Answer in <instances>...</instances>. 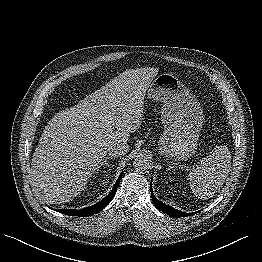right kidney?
<instances>
[{
    "instance_id": "obj_1",
    "label": "right kidney",
    "mask_w": 262,
    "mask_h": 262,
    "mask_svg": "<svg viewBox=\"0 0 262 262\" xmlns=\"http://www.w3.org/2000/svg\"><path fill=\"white\" fill-rule=\"evenodd\" d=\"M107 183H108V181H107V179H105V180H102L101 185H105V184H107Z\"/></svg>"
}]
</instances>
